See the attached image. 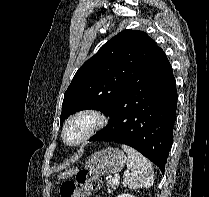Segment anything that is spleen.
<instances>
[{
  "instance_id": "3e777b00",
  "label": "spleen",
  "mask_w": 209,
  "mask_h": 197,
  "mask_svg": "<svg viewBox=\"0 0 209 197\" xmlns=\"http://www.w3.org/2000/svg\"><path fill=\"white\" fill-rule=\"evenodd\" d=\"M126 152L127 168L131 173L123 180V185L128 188H150L154 183V171L151 163L134 148L122 144Z\"/></svg>"
}]
</instances>
